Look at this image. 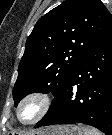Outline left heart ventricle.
Returning <instances> with one entry per match:
<instances>
[{
	"label": "left heart ventricle",
	"mask_w": 112,
	"mask_h": 135,
	"mask_svg": "<svg viewBox=\"0 0 112 135\" xmlns=\"http://www.w3.org/2000/svg\"><path fill=\"white\" fill-rule=\"evenodd\" d=\"M38 111V106L35 102H28L20 110V118L23 121H28L33 118Z\"/></svg>",
	"instance_id": "obj_1"
}]
</instances>
